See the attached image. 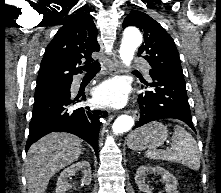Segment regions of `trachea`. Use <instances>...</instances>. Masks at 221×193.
I'll return each mask as SVG.
<instances>
[{"label": "trachea", "instance_id": "obj_1", "mask_svg": "<svg viewBox=\"0 0 221 193\" xmlns=\"http://www.w3.org/2000/svg\"><path fill=\"white\" fill-rule=\"evenodd\" d=\"M84 71H86L87 73H95L98 72L100 70V64L98 61H95L91 64L85 65L83 67H81Z\"/></svg>", "mask_w": 221, "mask_h": 193}]
</instances>
